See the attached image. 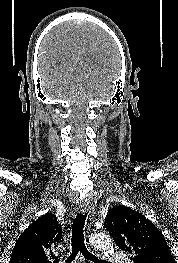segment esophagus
Masks as SVG:
<instances>
[{"label":"esophagus","mask_w":178,"mask_h":263,"mask_svg":"<svg viewBox=\"0 0 178 263\" xmlns=\"http://www.w3.org/2000/svg\"><path fill=\"white\" fill-rule=\"evenodd\" d=\"M80 211L82 214L89 213L90 217L93 215V207L88 199L82 200L80 204Z\"/></svg>","instance_id":"1"}]
</instances>
